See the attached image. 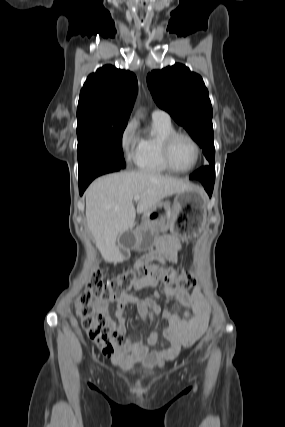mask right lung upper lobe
Instances as JSON below:
<instances>
[{"label": "right lung upper lobe", "mask_w": 285, "mask_h": 427, "mask_svg": "<svg viewBox=\"0 0 285 427\" xmlns=\"http://www.w3.org/2000/svg\"><path fill=\"white\" fill-rule=\"evenodd\" d=\"M137 91L134 73L105 65L90 74L84 83L77 118L128 121Z\"/></svg>", "instance_id": "right-lung-upper-lobe-1"}]
</instances>
